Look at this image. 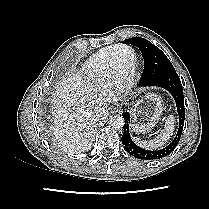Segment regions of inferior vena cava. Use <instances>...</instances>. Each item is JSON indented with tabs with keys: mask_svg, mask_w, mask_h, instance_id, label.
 <instances>
[{
	"mask_svg": "<svg viewBox=\"0 0 209 209\" xmlns=\"http://www.w3.org/2000/svg\"><path fill=\"white\" fill-rule=\"evenodd\" d=\"M95 114L98 115V116H103L104 114H106V109H105V107L97 106V107L95 108Z\"/></svg>",
	"mask_w": 209,
	"mask_h": 209,
	"instance_id": "inferior-vena-cava-1",
	"label": "inferior vena cava"
}]
</instances>
